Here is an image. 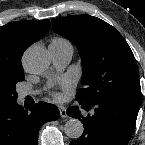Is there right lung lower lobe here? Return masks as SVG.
<instances>
[{
  "instance_id": "right-lung-lower-lobe-1",
  "label": "right lung lower lobe",
  "mask_w": 145,
  "mask_h": 145,
  "mask_svg": "<svg viewBox=\"0 0 145 145\" xmlns=\"http://www.w3.org/2000/svg\"><path fill=\"white\" fill-rule=\"evenodd\" d=\"M58 108L40 101L25 110L16 101L0 102V145H37L40 127L57 120Z\"/></svg>"
}]
</instances>
